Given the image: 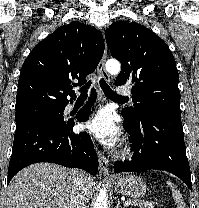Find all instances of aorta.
<instances>
[{
	"label": "aorta",
	"mask_w": 199,
	"mask_h": 208,
	"mask_svg": "<svg viewBox=\"0 0 199 208\" xmlns=\"http://www.w3.org/2000/svg\"><path fill=\"white\" fill-rule=\"evenodd\" d=\"M106 70L111 75L119 74L121 70L120 62L115 59L108 60L106 63ZM94 208H108L107 190L105 185L100 189L95 199Z\"/></svg>",
	"instance_id": "obj_1"
}]
</instances>
